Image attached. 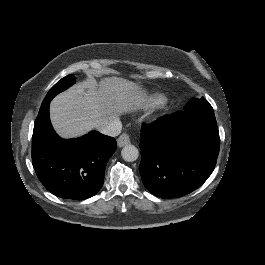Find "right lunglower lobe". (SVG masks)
I'll return each instance as SVG.
<instances>
[{
  "mask_svg": "<svg viewBox=\"0 0 265 265\" xmlns=\"http://www.w3.org/2000/svg\"><path fill=\"white\" fill-rule=\"evenodd\" d=\"M49 103L40 107L32 136V163L43 186L73 200L94 196L102 187L108 160L116 150L113 137L92 131L77 139L60 138L50 122Z\"/></svg>",
  "mask_w": 265,
  "mask_h": 265,
  "instance_id": "obj_1",
  "label": "right lung lower lobe"
}]
</instances>
